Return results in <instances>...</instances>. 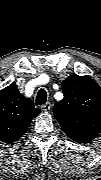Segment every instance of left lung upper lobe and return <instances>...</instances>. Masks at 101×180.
<instances>
[{"label":"left lung upper lobe","mask_w":101,"mask_h":180,"mask_svg":"<svg viewBox=\"0 0 101 180\" xmlns=\"http://www.w3.org/2000/svg\"><path fill=\"white\" fill-rule=\"evenodd\" d=\"M64 98L53 107L62 130L77 143L92 141L101 129V88L89 76L70 75L61 84Z\"/></svg>","instance_id":"1"}]
</instances>
